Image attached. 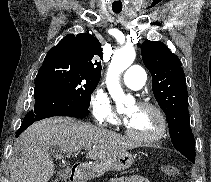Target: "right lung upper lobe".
<instances>
[{
	"label": "right lung upper lobe",
	"instance_id": "obj_1",
	"mask_svg": "<svg viewBox=\"0 0 211 182\" xmlns=\"http://www.w3.org/2000/svg\"><path fill=\"white\" fill-rule=\"evenodd\" d=\"M97 57L102 58V49L94 36L86 33L67 35L48 51L41 67L62 65L86 78L100 80L101 62Z\"/></svg>",
	"mask_w": 211,
	"mask_h": 182
}]
</instances>
